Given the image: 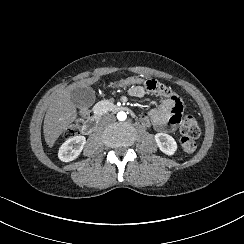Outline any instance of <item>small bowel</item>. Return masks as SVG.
I'll use <instances>...</instances> for the list:
<instances>
[{
    "label": "small bowel",
    "instance_id": "1",
    "mask_svg": "<svg viewBox=\"0 0 244 244\" xmlns=\"http://www.w3.org/2000/svg\"><path fill=\"white\" fill-rule=\"evenodd\" d=\"M127 92L130 96L137 98L144 97L149 93L157 94L161 98L157 109L138 117L142 126H154L159 131L166 132L169 127L178 123V118L183 110L182 101L164 84L155 81L152 85L136 87L133 90H127Z\"/></svg>",
    "mask_w": 244,
    "mask_h": 244
}]
</instances>
